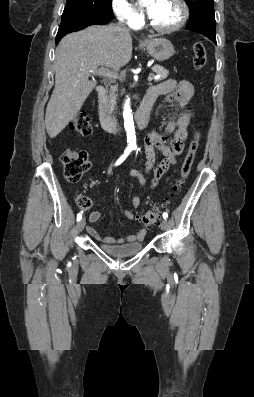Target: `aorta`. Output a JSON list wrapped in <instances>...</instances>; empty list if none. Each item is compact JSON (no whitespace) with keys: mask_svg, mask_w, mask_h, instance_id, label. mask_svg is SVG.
I'll use <instances>...</instances> for the list:
<instances>
[{"mask_svg":"<svg viewBox=\"0 0 254 397\" xmlns=\"http://www.w3.org/2000/svg\"><path fill=\"white\" fill-rule=\"evenodd\" d=\"M132 110L130 108V100L127 99L124 104L123 118H124V128L127 135V143L130 147L136 146V133L133 121Z\"/></svg>","mask_w":254,"mask_h":397,"instance_id":"762f6f07","label":"aorta"}]
</instances>
